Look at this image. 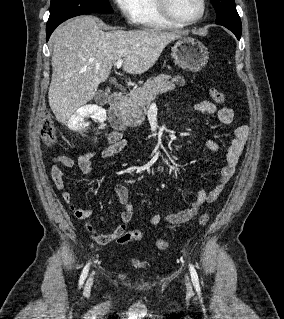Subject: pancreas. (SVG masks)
Here are the masks:
<instances>
[{"label":"pancreas","instance_id":"obj_1","mask_svg":"<svg viewBox=\"0 0 284 319\" xmlns=\"http://www.w3.org/2000/svg\"><path fill=\"white\" fill-rule=\"evenodd\" d=\"M170 79H172L171 76L161 74L153 79H148L141 87L130 91L122 109L123 118L130 126L142 125L151 102L158 94L173 90L174 82L179 81L181 77L177 76L171 81Z\"/></svg>","mask_w":284,"mask_h":319}]
</instances>
